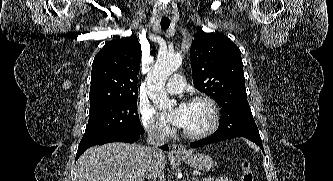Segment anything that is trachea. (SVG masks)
I'll use <instances>...</instances> for the list:
<instances>
[{
    "mask_svg": "<svg viewBox=\"0 0 333 181\" xmlns=\"http://www.w3.org/2000/svg\"><path fill=\"white\" fill-rule=\"evenodd\" d=\"M169 26H170V20H161V28L163 30L168 29Z\"/></svg>",
    "mask_w": 333,
    "mask_h": 181,
    "instance_id": "3493384b",
    "label": "trachea"
}]
</instances>
